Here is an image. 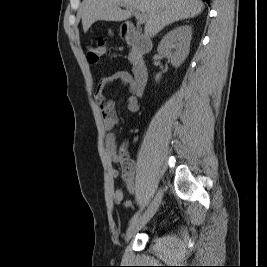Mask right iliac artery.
Segmentation results:
<instances>
[{
  "label": "right iliac artery",
  "mask_w": 267,
  "mask_h": 267,
  "mask_svg": "<svg viewBox=\"0 0 267 267\" xmlns=\"http://www.w3.org/2000/svg\"><path fill=\"white\" fill-rule=\"evenodd\" d=\"M143 209H144V205H143V207H141L140 210H138V211L134 214V216L131 218V220H130V222H129L130 225L133 224V223L138 219V217H139L140 214L142 213Z\"/></svg>",
  "instance_id": "right-iliac-artery-1"
}]
</instances>
